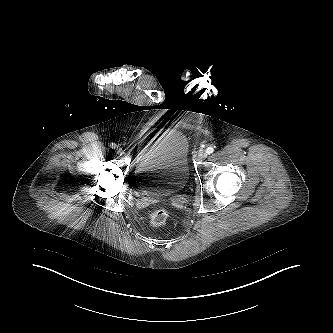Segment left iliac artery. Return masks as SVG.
<instances>
[{
    "label": "left iliac artery",
    "mask_w": 333,
    "mask_h": 333,
    "mask_svg": "<svg viewBox=\"0 0 333 333\" xmlns=\"http://www.w3.org/2000/svg\"><path fill=\"white\" fill-rule=\"evenodd\" d=\"M213 151H214V148L213 147H208L207 149H206V152L208 153V154H211V153H213Z\"/></svg>",
    "instance_id": "obj_1"
}]
</instances>
